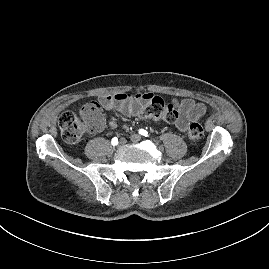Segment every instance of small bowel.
<instances>
[{
  "instance_id": "small-bowel-1",
  "label": "small bowel",
  "mask_w": 269,
  "mask_h": 269,
  "mask_svg": "<svg viewBox=\"0 0 269 269\" xmlns=\"http://www.w3.org/2000/svg\"><path fill=\"white\" fill-rule=\"evenodd\" d=\"M153 97L151 93L128 94L119 93L115 95H103L99 98V105L107 111H117L124 115H138L142 108ZM177 116L172 122L180 131H186L190 122L199 120L207 112V107L203 103L186 98L174 102ZM115 127V121L110 118H103L102 124L97 130H102L105 127Z\"/></svg>"
}]
</instances>
